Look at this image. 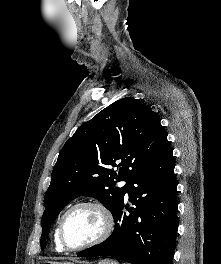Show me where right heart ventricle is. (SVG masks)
<instances>
[{"label": "right heart ventricle", "mask_w": 221, "mask_h": 264, "mask_svg": "<svg viewBox=\"0 0 221 264\" xmlns=\"http://www.w3.org/2000/svg\"><path fill=\"white\" fill-rule=\"evenodd\" d=\"M57 227H58V226H57ZM57 227H56L55 232H54V245H55V248H56L58 251H64V248H63L62 245L60 244V241H59V238H58Z\"/></svg>", "instance_id": "right-heart-ventricle-1"}]
</instances>
